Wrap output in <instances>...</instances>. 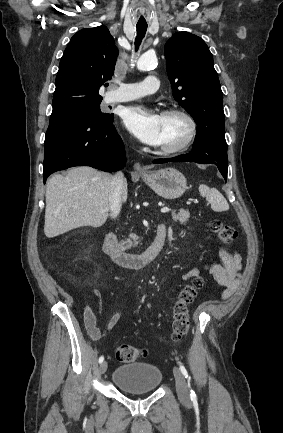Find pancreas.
<instances>
[{
    "label": "pancreas",
    "mask_w": 283,
    "mask_h": 433,
    "mask_svg": "<svg viewBox=\"0 0 283 433\" xmlns=\"http://www.w3.org/2000/svg\"><path fill=\"white\" fill-rule=\"evenodd\" d=\"M189 217L190 212L189 210H185V208H180V212H178V214H176L175 210L172 212L173 221H179V223H187V221H189ZM129 237L132 239V241L127 239V243H129L131 247H133V245H138V239H140V237H135L134 233H130Z\"/></svg>",
    "instance_id": "1"
}]
</instances>
